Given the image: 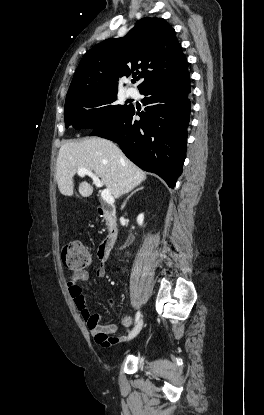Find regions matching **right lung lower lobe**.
<instances>
[{
	"label": "right lung lower lobe",
	"instance_id": "obj_1",
	"mask_svg": "<svg viewBox=\"0 0 264 415\" xmlns=\"http://www.w3.org/2000/svg\"><path fill=\"white\" fill-rule=\"evenodd\" d=\"M190 74L151 84L140 91L146 95L145 111L136 114L133 105L113 121L95 128L90 136L110 139L141 169L153 172L173 188L183 170L190 119Z\"/></svg>",
	"mask_w": 264,
	"mask_h": 415
}]
</instances>
